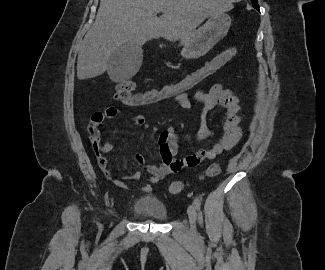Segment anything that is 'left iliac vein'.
<instances>
[{
	"instance_id": "1",
	"label": "left iliac vein",
	"mask_w": 325,
	"mask_h": 270,
	"mask_svg": "<svg viewBox=\"0 0 325 270\" xmlns=\"http://www.w3.org/2000/svg\"><path fill=\"white\" fill-rule=\"evenodd\" d=\"M187 212H188L191 228L194 232H196L197 212H196L195 205L194 204L189 205Z\"/></svg>"
}]
</instances>
